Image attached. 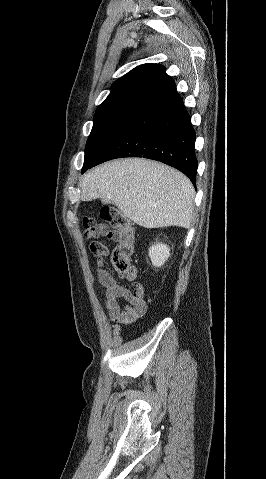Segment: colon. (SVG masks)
<instances>
[{"instance_id":"5ec220e1","label":"colon","mask_w":266,"mask_h":479,"mask_svg":"<svg viewBox=\"0 0 266 479\" xmlns=\"http://www.w3.org/2000/svg\"><path fill=\"white\" fill-rule=\"evenodd\" d=\"M100 217L119 235L117 245L110 253V264L120 277L130 278L134 271L132 258L134 253L135 230L131 223L118 210L104 207ZM84 228L88 236H99L106 232L107 226L94 218L84 219ZM95 257H105L107 247L99 241H94L89 247Z\"/></svg>"}]
</instances>
